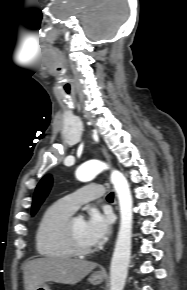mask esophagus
Masks as SVG:
<instances>
[{
	"mask_svg": "<svg viewBox=\"0 0 187 290\" xmlns=\"http://www.w3.org/2000/svg\"><path fill=\"white\" fill-rule=\"evenodd\" d=\"M102 152H103V154H104V156L106 158V161L110 164V156H109L108 152L106 151V149L102 148ZM104 273L105 272L103 270L100 271V274H104Z\"/></svg>",
	"mask_w": 187,
	"mask_h": 290,
	"instance_id": "1",
	"label": "esophagus"
}]
</instances>
